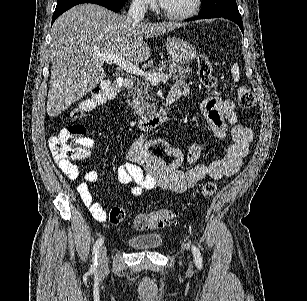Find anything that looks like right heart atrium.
Segmentation results:
<instances>
[{
    "label": "right heart atrium",
    "mask_w": 307,
    "mask_h": 301,
    "mask_svg": "<svg viewBox=\"0 0 307 301\" xmlns=\"http://www.w3.org/2000/svg\"><path fill=\"white\" fill-rule=\"evenodd\" d=\"M138 6L139 7H151L152 6V1L151 0H139L138 1Z\"/></svg>",
    "instance_id": "obj_1"
}]
</instances>
